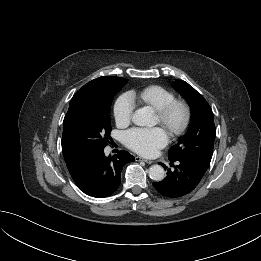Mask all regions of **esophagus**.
I'll return each mask as SVG.
<instances>
[{"label":"esophagus","instance_id":"34e87169","mask_svg":"<svg viewBox=\"0 0 261 261\" xmlns=\"http://www.w3.org/2000/svg\"><path fill=\"white\" fill-rule=\"evenodd\" d=\"M135 161H144L145 163H148V164L153 163V161L144 159V158H142V157H140V156H136V157H135Z\"/></svg>","mask_w":261,"mask_h":261}]
</instances>
